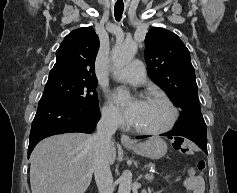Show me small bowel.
<instances>
[{
	"mask_svg": "<svg viewBox=\"0 0 237 193\" xmlns=\"http://www.w3.org/2000/svg\"><path fill=\"white\" fill-rule=\"evenodd\" d=\"M182 184L183 187L191 193H204L205 191L204 180L195 173L194 168L187 170Z\"/></svg>",
	"mask_w": 237,
	"mask_h": 193,
	"instance_id": "c3829d8e",
	"label": "small bowel"
}]
</instances>
